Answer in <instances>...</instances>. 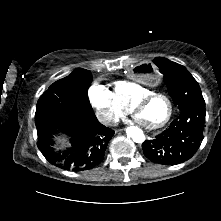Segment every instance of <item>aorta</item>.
Instances as JSON below:
<instances>
[{
    "mask_svg": "<svg viewBox=\"0 0 221 221\" xmlns=\"http://www.w3.org/2000/svg\"><path fill=\"white\" fill-rule=\"evenodd\" d=\"M126 134L130 137L135 143H143L145 141V135L143 131L137 126H129L126 129Z\"/></svg>",
    "mask_w": 221,
    "mask_h": 221,
    "instance_id": "1",
    "label": "aorta"
}]
</instances>
